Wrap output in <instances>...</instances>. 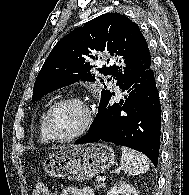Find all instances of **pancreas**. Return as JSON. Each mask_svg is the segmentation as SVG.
Returning a JSON list of instances; mask_svg holds the SVG:
<instances>
[{
  "mask_svg": "<svg viewBox=\"0 0 189 195\" xmlns=\"http://www.w3.org/2000/svg\"><path fill=\"white\" fill-rule=\"evenodd\" d=\"M101 186H102L101 184H96V185H95L96 188H99V187H101Z\"/></svg>",
  "mask_w": 189,
  "mask_h": 195,
  "instance_id": "1",
  "label": "pancreas"
}]
</instances>
